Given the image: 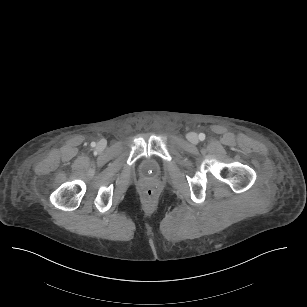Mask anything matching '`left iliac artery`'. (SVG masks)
I'll return each mask as SVG.
<instances>
[{"label": "left iliac artery", "mask_w": 307, "mask_h": 307, "mask_svg": "<svg viewBox=\"0 0 307 307\" xmlns=\"http://www.w3.org/2000/svg\"><path fill=\"white\" fill-rule=\"evenodd\" d=\"M199 139H200L201 141L205 140V134H204V133H200V134H199Z\"/></svg>", "instance_id": "left-iliac-artery-1"}]
</instances>
